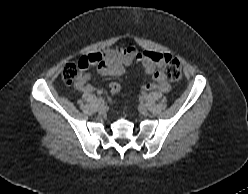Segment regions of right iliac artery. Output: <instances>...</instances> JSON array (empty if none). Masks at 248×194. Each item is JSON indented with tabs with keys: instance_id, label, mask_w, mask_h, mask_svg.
<instances>
[{
	"instance_id": "1",
	"label": "right iliac artery",
	"mask_w": 248,
	"mask_h": 194,
	"mask_svg": "<svg viewBox=\"0 0 248 194\" xmlns=\"http://www.w3.org/2000/svg\"><path fill=\"white\" fill-rule=\"evenodd\" d=\"M98 101H104L102 98H99Z\"/></svg>"
}]
</instances>
